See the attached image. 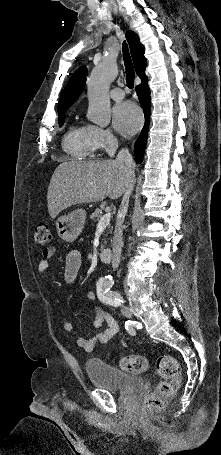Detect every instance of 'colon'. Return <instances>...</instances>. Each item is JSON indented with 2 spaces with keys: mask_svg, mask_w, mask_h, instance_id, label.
I'll use <instances>...</instances> for the list:
<instances>
[{
  "mask_svg": "<svg viewBox=\"0 0 221 455\" xmlns=\"http://www.w3.org/2000/svg\"><path fill=\"white\" fill-rule=\"evenodd\" d=\"M52 243L50 228L41 224L34 231V245L49 248ZM123 370L130 373H142L148 369V361L140 355H128L120 359ZM158 375L163 379L155 390L149 394L143 404L144 409L160 411L174 397L175 390L180 384V368L177 359L172 355H161L155 360Z\"/></svg>",
  "mask_w": 221,
  "mask_h": 455,
  "instance_id": "5ec220e1",
  "label": "colon"
}]
</instances>
